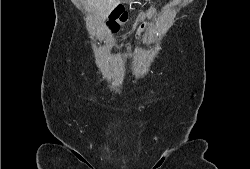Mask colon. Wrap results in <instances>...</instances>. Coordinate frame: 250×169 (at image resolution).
Wrapping results in <instances>:
<instances>
[{
    "label": "colon",
    "instance_id": "obj_1",
    "mask_svg": "<svg viewBox=\"0 0 250 169\" xmlns=\"http://www.w3.org/2000/svg\"><path fill=\"white\" fill-rule=\"evenodd\" d=\"M129 15L128 12L125 10L124 7L118 6L114 8L108 18L107 28L111 32H117L123 28L125 23L128 21ZM145 29V24L142 23L139 27L138 37Z\"/></svg>",
    "mask_w": 250,
    "mask_h": 169
}]
</instances>
